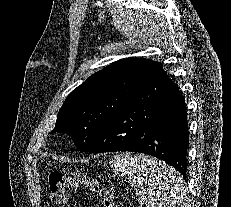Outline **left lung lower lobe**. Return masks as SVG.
Segmentation results:
<instances>
[{"label":"left lung lower lobe","mask_w":231,"mask_h":207,"mask_svg":"<svg viewBox=\"0 0 231 207\" xmlns=\"http://www.w3.org/2000/svg\"><path fill=\"white\" fill-rule=\"evenodd\" d=\"M188 146L185 99L157 63L143 89L113 116L85 151L149 154L172 165L186 179Z\"/></svg>","instance_id":"1"}]
</instances>
